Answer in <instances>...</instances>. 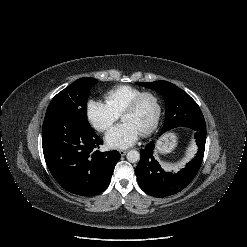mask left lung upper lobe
I'll return each mask as SVG.
<instances>
[{
	"instance_id": "left-lung-upper-lobe-1",
	"label": "left lung upper lobe",
	"mask_w": 247,
	"mask_h": 247,
	"mask_svg": "<svg viewBox=\"0 0 247 247\" xmlns=\"http://www.w3.org/2000/svg\"><path fill=\"white\" fill-rule=\"evenodd\" d=\"M159 92L165 100L166 120L163 131L177 127L193 130L205 127L204 116L197 103L182 89L168 81L136 82Z\"/></svg>"
}]
</instances>
